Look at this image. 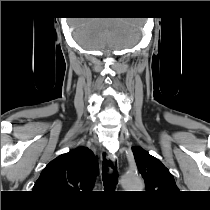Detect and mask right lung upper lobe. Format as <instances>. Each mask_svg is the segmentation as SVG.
<instances>
[{
    "instance_id": "right-lung-upper-lobe-1",
    "label": "right lung upper lobe",
    "mask_w": 210,
    "mask_h": 210,
    "mask_svg": "<svg viewBox=\"0 0 210 210\" xmlns=\"http://www.w3.org/2000/svg\"><path fill=\"white\" fill-rule=\"evenodd\" d=\"M97 175V157L87 147H77L51 161L33 191L57 203H66L79 193L92 190Z\"/></svg>"
}]
</instances>
